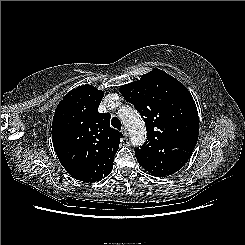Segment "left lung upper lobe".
Segmentation results:
<instances>
[{
	"mask_svg": "<svg viewBox=\"0 0 245 245\" xmlns=\"http://www.w3.org/2000/svg\"><path fill=\"white\" fill-rule=\"evenodd\" d=\"M119 91L146 124V142L135 149L138 163L156 177L181 169L198 139V112L191 94L178 80L159 69L121 86Z\"/></svg>",
	"mask_w": 245,
	"mask_h": 245,
	"instance_id": "obj_1",
	"label": "left lung upper lobe"
}]
</instances>
